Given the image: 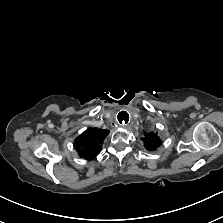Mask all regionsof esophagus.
<instances>
[{
    "instance_id": "1",
    "label": "esophagus",
    "mask_w": 223,
    "mask_h": 223,
    "mask_svg": "<svg viewBox=\"0 0 223 223\" xmlns=\"http://www.w3.org/2000/svg\"><path fill=\"white\" fill-rule=\"evenodd\" d=\"M116 120L119 124L126 126V125L130 124L132 117L128 111L121 110L117 113Z\"/></svg>"
}]
</instances>
